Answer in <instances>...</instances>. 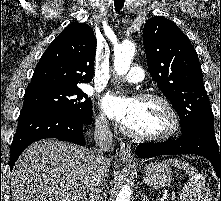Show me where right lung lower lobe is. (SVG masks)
Returning a JSON list of instances; mask_svg holds the SVG:
<instances>
[{"label": "right lung lower lobe", "mask_w": 221, "mask_h": 201, "mask_svg": "<svg viewBox=\"0 0 221 201\" xmlns=\"http://www.w3.org/2000/svg\"><path fill=\"white\" fill-rule=\"evenodd\" d=\"M91 123L92 120L85 121L69 114L45 110L21 112L11 145L10 169L23 150L37 140L57 138L84 146Z\"/></svg>", "instance_id": "obj_1"}]
</instances>
